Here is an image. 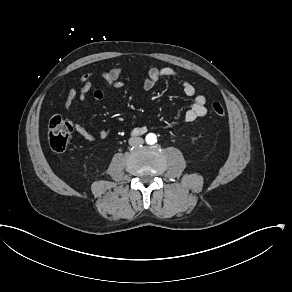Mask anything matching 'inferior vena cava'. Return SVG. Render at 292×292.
<instances>
[{
    "label": "inferior vena cava",
    "mask_w": 292,
    "mask_h": 292,
    "mask_svg": "<svg viewBox=\"0 0 292 292\" xmlns=\"http://www.w3.org/2000/svg\"><path fill=\"white\" fill-rule=\"evenodd\" d=\"M128 143L131 146H137V145H142L144 143V140L141 137H131Z\"/></svg>",
    "instance_id": "1"
}]
</instances>
